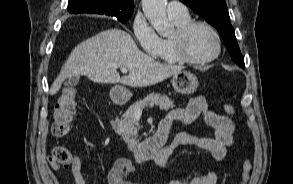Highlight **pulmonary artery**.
Segmentation results:
<instances>
[{
    "mask_svg": "<svg viewBox=\"0 0 293 184\" xmlns=\"http://www.w3.org/2000/svg\"><path fill=\"white\" fill-rule=\"evenodd\" d=\"M167 13L170 17H182L188 15L186 6L180 1H170L167 5Z\"/></svg>",
    "mask_w": 293,
    "mask_h": 184,
    "instance_id": "obj_1",
    "label": "pulmonary artery"
}]
</instances>
